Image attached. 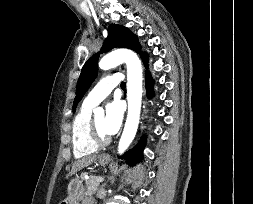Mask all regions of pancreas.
Listing matches in <instances>:
<instances>
[{"mask_svg": "<svg viewBox=\"0 0 253 204\" xmlns=\"http://www.w3.org/2000/svg\"><path fill=\"white\" fill-rule=\"evenodd\" d=\"M95 176H91L85 180V188L87 194H93L98 190L99 183L94 180Z\"/></svg>", "mask_w": 253, "mask_h": 204, "instance_id": "pancreas-1", "label": "pancreas"}]
</instances>
